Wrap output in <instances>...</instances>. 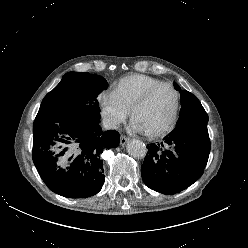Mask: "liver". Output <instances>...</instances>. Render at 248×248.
I'll return each mask as SVG.
<instances>
[{"label": "liver", "instance_id": "6515ba94", "mask_svg": "<svg viewBox=\"0 0 248 248\" xmlns=\"http://www.w3.org/2000/svg\"><path fill=\"white\" fill-rule=\"evenodd\" d=\"M74 153H77L76 147L74 145H70V149L68 150V152L65 154L63 160H62V164L64 165L67 161V159Z\"/></svg>", "mask_w": 248, "mask_h": 248}]
</instances>
